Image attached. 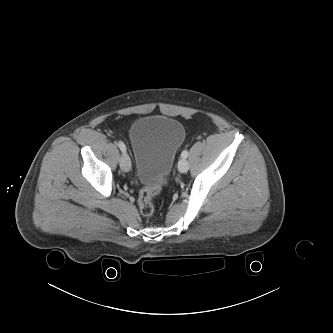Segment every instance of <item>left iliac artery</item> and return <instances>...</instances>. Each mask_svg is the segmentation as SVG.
I'll list each match as a JSON object with an SVG mask.
<instances>
[{
	"instance_id": "44dca946",
	"label": "left iliac artery",
	"mask_w": 333,
	"mask_h": 333,
	"mask_svg": "<svg viewBox=\"0 0 333 333\" xmlns=\"http://www.w3.org/2000/svg\"><path fill=\"white\" fill-rule=\"evenodd\" d=\"M188 155H189L188 150H184V151L181 153V157H182L183 159L187 158Z\"/></svg>"
}]
</instances>
